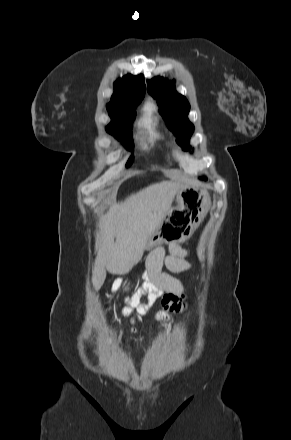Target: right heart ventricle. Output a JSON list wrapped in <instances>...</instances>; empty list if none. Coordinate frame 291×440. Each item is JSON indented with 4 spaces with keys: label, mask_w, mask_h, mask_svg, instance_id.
<instances>
[{
    "label": "right heart ventricle",
    "mask_w": 291,
    "mask_h": 440,
    "mask_svg": "<svg viewBox=\"0 0 291 440\" xmlns=\"http://www.w3.org/2000/svg\"><path fill=\"white\" fill-rule=\"evenodd\" d=\"M138 127L146 140V148H161L164 136L158 128V119L155 115V107L152 103H147L143 109V114L138 121Z\"/></svg>",
    "instance_id": "e07e8e85"
}]
</instances>
